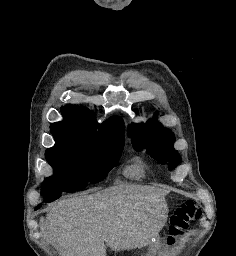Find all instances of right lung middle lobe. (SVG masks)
<instances>
[{"instance_id":"right-lung-middle-lobe-1","label":"right lung middle lobe","mask_w":236,"mask_h":256,"mask_svg":"<svg viewBox=\"0 0 236 256\" xmlns=\"http://www.w3.org/2000/svg\"><path fill=\"white\" fill-rule=\"evenodd\" d=\"M56 144L47 149L46 159L54 175L45 179L42 195L46 202L56 200L63 191L74 192L88 182L103 180L118 163L124 142L87 138L72 133H52Z\"/></svg>"}]
</instances>
